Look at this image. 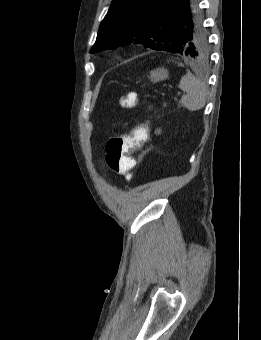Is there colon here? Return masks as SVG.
I'll list each match as a JSON object with an SVG mask.
<instances>
[{"mask_svg": "<svg viewBox=\"0 0 261 340\" xmlns=\"http://www.w3.org/2000/svg\"><path fill=\"white\" fill-rule=\"evenodd\" d=\"M142 104L135 92H130L120 98L123 108H137ZM148 124H141L127 134L110 138L105 145V161L107 166L115 173L124 175L128 180L133 178L135 160L130 156L139 149L148 138Z\"/></svg>", "mask_w": 261, "mask_h": 340, "instance_id": "obj_1", "label": "colon"}]
</instances>
